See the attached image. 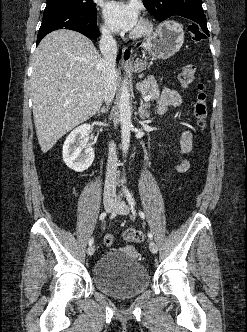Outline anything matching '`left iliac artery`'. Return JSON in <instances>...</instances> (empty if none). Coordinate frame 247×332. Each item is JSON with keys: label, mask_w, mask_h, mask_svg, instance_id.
<instances>
[{"label": "left iliac artery", "mask_w": 247, "mask_h": 332, "mask_svg": "<svg viewBox=\"0 0 247 332\" xmlns=\"http://www.w3.org/2000/svg\"><path fill=\"white\" fill-rule=\"evenodd\" d=\"M125 194H126V198H127V201L129 203V205L132 208L136 207V202H135L134 198L132 197L131 193L128 190H126ZM139 215L142 219L145 218V214L141 210H139ZM148 237H149V239L152 240L153 239V234L151 232H148Z\"/></svg>", "instance_id": "left-iliac-artery-1"}]
</instances>
